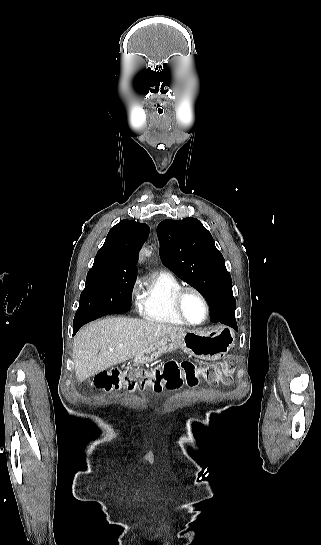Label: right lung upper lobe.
Here are the masks:
<instances>
[{
	"label": "right lung upper lobe",
	"instance_id": "1",
	"mask_svg": "<svg viewBox=\"0 0 321 545\" xmlns=\"http://www.w3.org/2000/svg\"><path fill=\"white\" fill-rule=\"evenodd\" d=\"M148 234L147 224L121 220L110 229L90 272L104 271L116 276L136 277L138 251Z\"/></svg>",
	"mask_w": 321,
	"mask_h": 545
}]
</instances>
